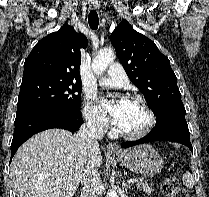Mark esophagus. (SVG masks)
<instances>
[{
  "instance_id": "esophagus-1",
  "label": "esophagus",
  "mask_w": 209,
  "mask_h": 197,
  "mask_svg": "<svg viewBox=\"0 0 209 197\" xmlns=\"http://www.w3.org/2000/svg\"><path fill=\"white\" fill-rule=\"evenodd\" d=\"M89 7L92 9H96L98 7V2L92 1L89 4ZM107 149L109 152L113 153V154H121L122 151L119 149L118 145L116 143H109L107 145Z\"/></svg>"
}]
</instances>
